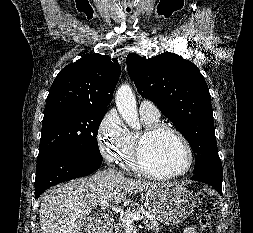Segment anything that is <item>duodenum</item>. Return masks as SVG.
Here are the masks:
<instances>
[{
    "label": "duodenum",
    "instance_id": "duodenum-1",
    "mask_svg": "<svg viewBox=\"0 0 253 233\" xmlns=\"http://www.w3.org/2000/svg\"><path fill=\"white\" fill-rule=\"evenodd\" d=\"M108 228L107 222H104L102 224H97L96 229L93 233H105Z\"/></svg>",
    "mask_w": 253,
    "mask_h": 233
}]
</instances>
